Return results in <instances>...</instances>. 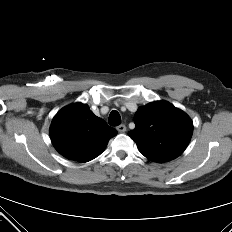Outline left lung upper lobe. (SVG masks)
Here are the masks:
<instances>
[{"label":"left lung upper lobe","instance_id":"obj_1","mask_svg":"<svg viewBox=\"0 0 232 232\" xmlns=\"http://www.w3.org/2000/svg\"><path fill=\"white\" fill-rule=\"evenodd\" d=\"M135 129L128 135L139 151L154 162H167L178 157L188 146L193 123L180 109L166 101L140 107L134 116Z\"/></svg>","mask_w":232,"mask_h":232}]
</instances>
